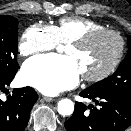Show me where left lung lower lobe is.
<instances>
[{
	"label": "left lung lower lobe",
	"mask_w": 131,
	"mask_h": 131,
	"mask_svg": "<svg viewBox=\"0 0 131 131\" xmlns=\"http://www.w3.org/2000/svg\"><path fill=\"white\" fill-rule=\"evenodd\" d=\"M81 96L92 99L97 107L75 103L72 117L65 122L67 131H124L131 125V100L120 96L83 90Z\"/></svg>",
	"instance_id": "obj_1"
}]
</instances>
